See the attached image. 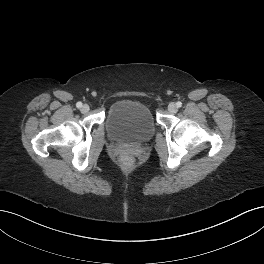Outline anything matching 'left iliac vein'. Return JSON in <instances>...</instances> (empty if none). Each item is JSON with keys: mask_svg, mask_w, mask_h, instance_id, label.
Here are the masks:
<instances>
[{"mask_svg": "<svg viewBox=\"0 0 264 264\" xmlns=\"http://www.w3.org/2000/svg\"><path fill=\"white\" fill-rule=\"evenodd\" d=\"M168 110L171 112V113H176L177 112V110H178V107L176 106V104L175 103H170L169 105H168Z\"/></svg>", "mask_w": 264, "mask_h": 264, "instance_id": "left-iliac-vein-1", "label": "left iliac vein"}]
</instances>
